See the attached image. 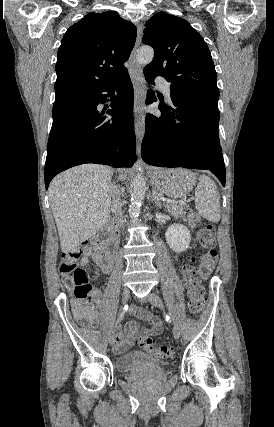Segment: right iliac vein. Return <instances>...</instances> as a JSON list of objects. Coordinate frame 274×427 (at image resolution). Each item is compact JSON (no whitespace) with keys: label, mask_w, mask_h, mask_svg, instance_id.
<instances>
[{"label":"right iliac vein","mask_w":274,"mask_h":427,"mask_svg":"<svg viewBox=\"0 0 274 427\" xmlns=\"http://www.w3.org/2000/svg\"><path fill=\"white\" fill-rule=\"evenodd\" d=\"M130 298V291L128 288H123L122 290V303L125 304ZM115 329H113L109 335V344L111 347H114L115 345Z\"/></svg>","instance_id":"obj_1"}]
</instances>
